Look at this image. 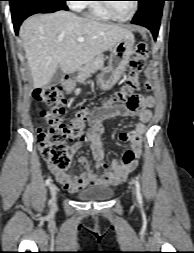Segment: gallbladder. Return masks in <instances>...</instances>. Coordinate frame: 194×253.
Returning <instances> with one entry per match:
<instances>
[{
    "label": "gallbladder",
    "instance_id": "1",
    "mask_svg": "<svg viewBox=\"0 0 194 253\" xmlns=\"http://www.w3.org/2000/svg\"><path fill=\"white\" fill-rule=\"evenodd\" d=\"M63 76H64V71L61 68H58L50 81V85L56 86L60 84Z\"/></svg>",
    "mask_w": 194,
    "mask_h": 253
}]
</instances>
